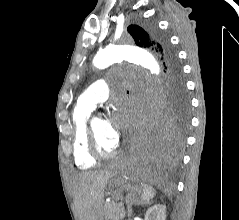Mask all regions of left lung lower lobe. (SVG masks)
Instances as JSON below:
<instances>
[{
  "instance_id": "left-lung-lower-lobe-1",
  "label": "left lung lower lobe",
  "mask_w": 239,
  "mask_h": 220,
  "mask_svg": "<svg viewBox=\"0 0 239 220\" xmlns=\"http://www.w3.org/2000/svg\"><path fill=\"white\" fill-rule=\"evenodd\" d=\"M182 144V131L167 117L153 138L141 149L135 167L141 173L161 174L178 162Z\"/></svg>"
}]
</instances>
